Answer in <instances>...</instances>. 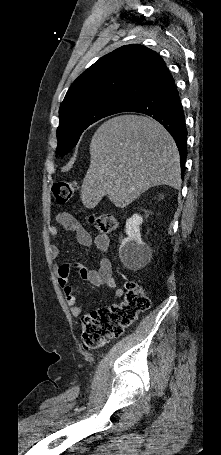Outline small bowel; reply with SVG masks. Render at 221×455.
I'll return each instance as SVG.
<instances>
[{
  "label": "small bowel",
  "mask_w": 221,
  "mask_h": 455,
  "mask_svg": "<svg viewBox=\"0 0 221 455\" xmlns=\"http://www.w3.org/2000/svg\"><path fill=\"white\" fill-rule=\"evenodd\" d=\"M58 222L67 230L75 233L78 243L82 246L89 247L94 243L99 253L98 266L89 269L80 263L65 262L56 268L57 280L59 286L64 290L65 299L69 306L72 316H80L83 309L78 305L77 298L69 284V273L71 269L76 268L80 277L94 286L106 285L114 290L116 299H120L124 295L122 288L118 287L117 281L112 274V264L108 257L110 250V239L107 235L99 234L94 239L83 227L81 222L74 216L61 213L58 216ZM49 232L52 236H58L59 229L57 226H51ZM50 255L53 259H58L61 255V250L58 246L50 247Z\"/></svg>",
  "instance_id": "obj_1"
}]
</instances>
